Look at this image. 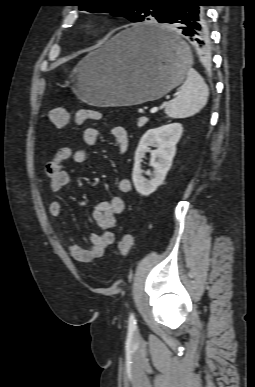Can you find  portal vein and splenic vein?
I'll use <instances>...</instances> for the list:
<instances>
[{
  "mask_svg": "<svg viewBox=\"0 0 255 387\" xmlns=\"http://www.w3.org/2000/svg\"><path fill=\"white\" fill-rule=\"evenodd\" d=\"M158 111V108L157 107H152L150 109V113H156ZM142 122V118L139 119V124Z\"/></svg>",
  "mask_w": 255,
  "mask_h": 387,
  "instance_id": "portal-vein-and-splenic-vein-1",
  "label": "portal vein and splenic vein"
}]
</instances>
